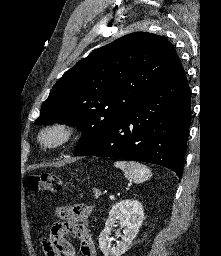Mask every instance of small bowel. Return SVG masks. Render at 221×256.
<instances>
[{
    "mask_svg": "<svg viewBox=\"0 0 221 256\" xmlns=\"http://www.w3.org/2000/svg\"><path fill=\"white\" fill-rule=\"evenodd\" d=\"M62 222L51 225L48 236L41 242L44 256H78L75 247L67 239L74 235L80 242L81 256H96L88 219L92 213L89 205L64 206L57 210Z\"/></svg>",
    "mask_w": 221,
    "mask_h": 256,
    "instance_id": "small-bowel-1",
    "label": "small bowel"
}]
</instances>
